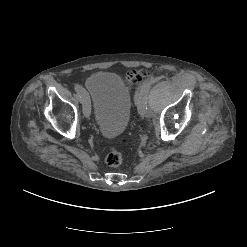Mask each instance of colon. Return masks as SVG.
Masks as SVG:
<instances>
[{
    "label": "colon",
    "mask_w": 247,
    "mask_h": 247,
    "mask_svg": "<svg viewBox=\"0 0 247 247\" xmlns=\"http://www.w3.org/2000/svg\"><path fill=\"white\" fill-rule=\"evenodd\" d=\"M147 76L146 71L144 70H134L127 74L126 80L129 84L134 85L140 83L145 77ZM127 143V139L123 138L119 145H113L107 156H106V163L111 167H117L122 164L124 160V155L122 152V147L125 146Z\"/></svg>",
    "instance_id": "5ec220e1"
}]
</instances>
